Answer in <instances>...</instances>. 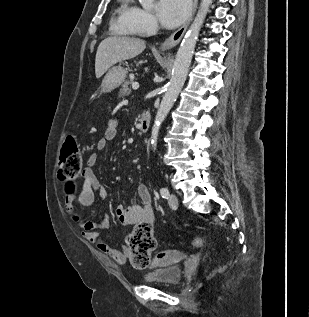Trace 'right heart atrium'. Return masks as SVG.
I'll return each instance as SVG.
<instances>
[{
  "label": "right heart atrium",
  "instance_id": "d8ad5b80",
  "mask_svg": "<svg viewBox=\"0 0 309 317\" xmlns=\"http://www.w3.org/2000/svg\"><path fill=\"white\" fill-rule=\"evenodd\" d=\"M132 23L139 31H152L157 28V21L154 15L142 8L135 7L132 15Z\"/></svg>",
  "mask_w": 309,
  "mask_h": 317
}]
</instances>
